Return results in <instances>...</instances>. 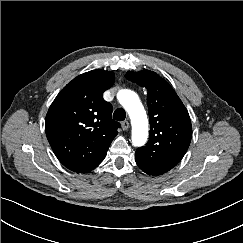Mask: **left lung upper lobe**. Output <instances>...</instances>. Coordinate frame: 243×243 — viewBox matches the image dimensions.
Instances as JSON below:
<instances>
[{"label":"left lung upper lobe","mask_w":243,"mask_h":243,"mask_svg":"<svg viewBox=\"0 0 243 243\" xmlns=\"http://www.w3.org/2000/svg\"><path fill=\"white\" fill-rule=\"evenodd\" d=\"M126 78L148 90L149 140L136 150V163L149 175H162L174 168L188 150L192 138L188 111L171 85L155 72L128 71Z\"/></svg>","instance_id":"1"}]
</instances>
